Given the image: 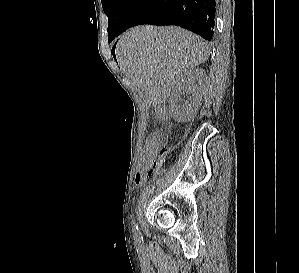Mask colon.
<instances>
[{
  "label": "colon",
  "instance_id": "1",
  "mask_svg": "<svg viewBox=\"0 0 299 273\" xmlns=\"http://www.w3.org/2000/svg\"><path fill=\"white\" fill-rule=\"evenodd\" d=\"M157 152V142L155 139H149L138 164L136 178L137 180H146L151 176L154 169V156ZM164 152V151H163Z\"/></svg>",
  "mask_w": 299,
  "mask_h": 273
}]
</instances>
